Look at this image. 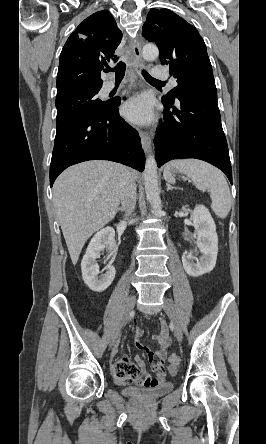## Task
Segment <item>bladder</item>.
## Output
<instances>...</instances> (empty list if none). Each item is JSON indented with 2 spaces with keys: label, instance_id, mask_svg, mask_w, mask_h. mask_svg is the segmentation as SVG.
I'll use <instances>...</instances> for the list:
<instances>
[{
  "label": "bladder",
  "instance_id": "31cf9c89",
  "mask_svg": "<svg viewBox=\"0 0 266 444\" xmlns=\"http://www.w3.org/2000/svg\"><path fill=\"white\" fill-rule=\"evenodd\" d=\"M174 389L172 383H164L155 387H136L129 386L124 388L123 393L130 398L140 400V401H151L158 399Z\"/></svg>",
  "mask_w": 266,
  "mask_h": 444
}]
</instances>
